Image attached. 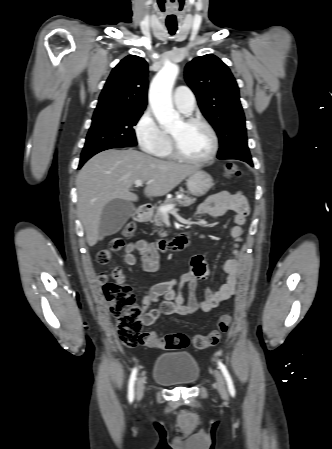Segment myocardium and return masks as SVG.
I'll return each instance as SVG.
<instances>
[{
  "label": "myocardium",
  "instance_id": "f54148a6",
  "mask_svg": "<svg viewBox=\"0 0 332 449\" xmlns=\"http://www.w3.org/2000/svg\"><path fill=\"white\" fill-rule=\"evenodd\" d=\"M182 122L184 124H199L201 126H203L209 133L210 138H211V149L210 152L204 156V157H190L186 154H184L181 149L179 148L176 139L170 134V146H171V150L173 155L177 158L180 159L184 162H188V163H195V164H206L209 163L210 161H212L217 153H218V149H219V141H218V136L216 134V131L214 130V128L212 127V125L207 122L205 119L200 118V117H196V116H186L182 119Z\"/></svg>",
  "mask_w": 332,
  "mask_h": 449
}]
</instances>
